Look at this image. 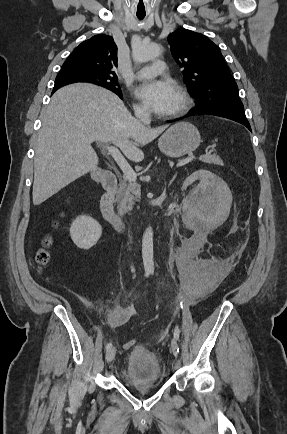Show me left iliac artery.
<instances>
[{
	"label": "left iliac artery",
	"instance_id": "obj_1",
	"mask_svg": "<svg viewBox=\"0 0 287 434\" xmlns=\"http://www.w3.org/2000/svg\"><path fill=\"white\" fill-rule=\"evenodd\" d=\"M180 306L181 308H183L184 306V300L180 302ZM179 335H180V330L178 327L175 328L174 330V339L178 340L179 339Z\"/></svg>",
	"mask_w": 287,
	"mask_h": 434
}]
</instances>
